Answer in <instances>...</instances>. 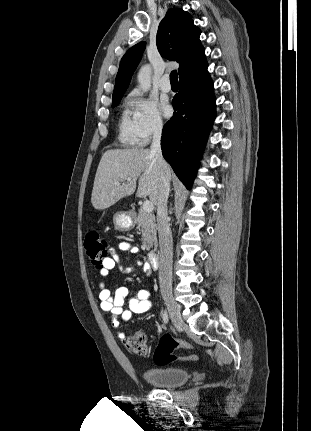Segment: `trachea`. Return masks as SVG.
Wrapping results in <instances>:
<instances>
[{
    "label": "trachea",
    "instance_id": "trachea-1",
    "mask_svg": "<svg viewBox=\"0 0 311 431\" xmlns=\"http://www.w3.org/2000/svg\"><path fill=\"white\" fill-rule=\"evenodd\" d=\"M170 83L178 84V74L176 70H173L170 74Z\"/></svg>",
    "mask_w": 311,
    "mask_h": 431
}]
</instances>
